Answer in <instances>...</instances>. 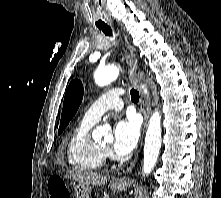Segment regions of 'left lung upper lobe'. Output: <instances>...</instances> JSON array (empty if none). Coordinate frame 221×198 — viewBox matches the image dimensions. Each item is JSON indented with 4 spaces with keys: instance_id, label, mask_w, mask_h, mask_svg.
I'll return each mask as SVG.
<instances>
[{
    "instance_id": "obj_1",
    "label": "left lung upper lobe",
    "mask_w": 221,
    "mask_h": 198,
    "mask_svg": "<svg viewBox=\"0 0 221 198\" xmlns=\"http://www.w3.org/2000/svg\"><path fill=\"white\" fill-rule=\"evenodd\" d=\"M83 98V86L80 80H73L66 91L58 134L68 125L75 115Z\"/></svg>"
}]
</instances>
